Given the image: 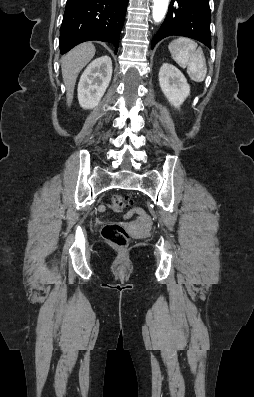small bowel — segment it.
Here are the masks:
<instances>
[{
  "label": "small bowel",
  "mask_w": 254,
  "mask_h": 397,
  "mask_svg": "<svg viewBox=\"0 0 254 397\" xmlns=\"http://www.w3.org/2000/svg\"><path fill=\"white\" fill-rule=\"evenodd\" d=\"M107 210V207L105 205H100L98 207V211L102 214H104ZM136 213L139 215L141 222L143 225L147 226L148 225V219L145 216V214L141 211V210H136ZM97 222L102 223L103 220L102 219H98Z\"/></svg>",
  "instance_id": "1"
}]
</instances>
